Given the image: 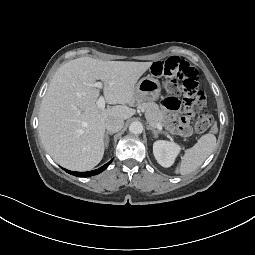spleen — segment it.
<instances>
[{
    "mask_svg": "<svg viewBox=\"0 0 255 255\" xmlns=\"http://www.w3.org/2000/svg\"><path fill=\"white\" fill-rule=\"evenodd\" d=\"M215 147V135L211 133L203 135L198 139L197 143L193 147L185 151L175 173L181 175L192 173L204 163Z\"/></svg>",
    "mask_w": 255,
    "mask_h": 255,
    "instance_id": "obj_1",
    "label": "spleen"
}]
</instances>
